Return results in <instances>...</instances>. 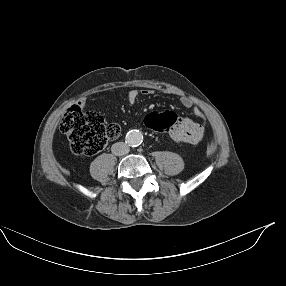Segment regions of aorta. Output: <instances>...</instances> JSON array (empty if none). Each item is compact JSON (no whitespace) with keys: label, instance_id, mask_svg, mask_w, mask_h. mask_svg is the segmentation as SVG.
<instances>
[{"label":"aorta","instance_id":"obj_1","mask_svg":"<svg viewBox=\"0 0 286 286\" xmlns=\"http://www.w3.org/2000/svg\"><path fill=\"white\" fill-rule=\"evenodd\" d=\"M143 141V135L138 130H131L126 135V143L129 146L136 147L139 146Z\"/></svg>","mask_w":286,"mask_h":286}]
</instances>
